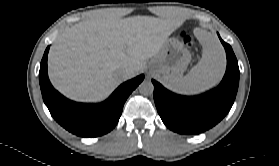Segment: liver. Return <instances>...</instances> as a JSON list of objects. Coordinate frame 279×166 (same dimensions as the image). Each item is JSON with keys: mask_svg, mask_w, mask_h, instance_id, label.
<instances>
[{"mask_svg": "<svg viewBox=\"0 0 279 166\" xmlns=\"http://www.w3.org/2000/svg\"><path fill=\"white\" fill-rule=\"evenodd\" d=\"M181 24L172 12L165 18L100 15L79 22L64 30L50 49V81L70 99L99 101L140 73ZM126 66L132 70L122 78L119 71Z\"/></svg>", "mask_w": 279, "mask_h": 166, "instance_id": "obj_1", "label": "liver"}]
</instances>
